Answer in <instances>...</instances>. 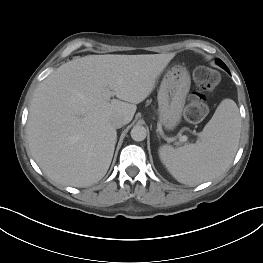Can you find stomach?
I'll list each match as a JSON object with an SVG mask.
<instances>
[{
    "label": "stomach",
    "mask_w": 263,
    "mask_h": 263,
    "mask_svg": "<svg viewBox=\"0 0 263 263\" xmlns=\"http://www.w3.org/2000/svg\"><path fill=\"white\" fill-rule=\"evenodd\" d=\"M190 85L185 67L177 64L168 67L157 97L159 121L165 129L173 130L180 123Z\"/></svg>",
    "instance_id": "stomach-1"
}]
</instances>
